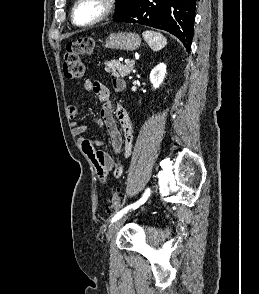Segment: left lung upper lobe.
<instances>
[{
	"label": "left lung upper lobe",
	"mask_w": 259,
	"mask_h": 294,
	"mask_svg": "<svg viewBox=\"0 0 259 294\" xmlns=\"http://www.w3.org/2000/svg\"><path fill=\"white\" fill-rule=\"evenodd\" d=\"M135 2L136 0H117V10L114 17L131 9L135 5Z\"/></svg>",
	"instance_id": "left-lung-upper-lobe-1"
}]
</instances>
